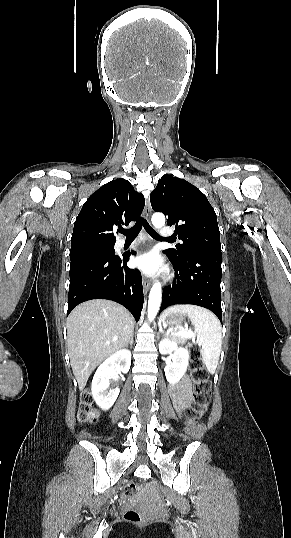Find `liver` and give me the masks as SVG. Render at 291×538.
Segmentation results:
<instances>
[{"label": "liver", "instance_id": "1", "mask_svg": "<svg viewBox=\"0 0 291 538\" xmlns=\"http://www.w3.org/2000/svg\"><path fill=\"white\" fill-rule=\"evenodd\" d=\"M67 347L73 374L82 391L94 369L126 346L133 334L129 311L109 300H91L67 318Z\"/></svg>", "mask_w": 291, "mask_h": 538}]
</instances>
